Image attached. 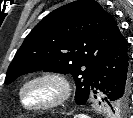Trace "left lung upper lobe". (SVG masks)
Returning a JSON list of instances; mask_svg holds the SVG:
<instances>
[{
    "label": "left lung upper lobe",
    "instance_id": "5c2ea615",
    "mask_svg": "<svg viewBox=\"0 0 133 118\" xmlns=\"http://www.w3.org/2000/svg\"><path fill=\"white\" fill-rule=\"evenodd\" d=\"M119 28L112 16L94 0H77L49 13L27 35L8 68L5 84L20 75L44 70L71 73L75 100H88L92 74L111 47ZM130 97L99 105L109 113L127 110ZM124 111V112H125Z\"/></svg>",
    "mask_w": 133,
    "mask_h": 118
}]
</instances>
